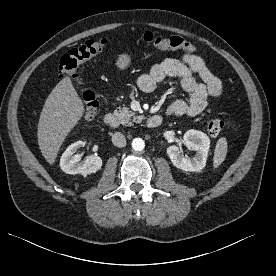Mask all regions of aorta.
Segmentation results:
<instances>
[{
	"mask_svg": "<svg viewBox=\"0 0 276 276\" xmlns=\"http://www.w3.org/2000/svg\"><path fill=\"white\" fill-rule=\"evenodd\" d=\"M132 148L135 151H142L145 148V142L142 138H135L132 141Z\"/></svg>",
	"mask_w": 276,
	"mask_h": 276,
	"instance_id": "762f6f07",
	"label": "aorta"
}]
</instances>
